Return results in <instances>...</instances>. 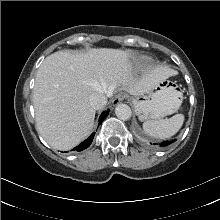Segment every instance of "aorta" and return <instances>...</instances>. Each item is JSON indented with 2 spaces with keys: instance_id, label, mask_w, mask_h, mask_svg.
<instances>
[{
  "instance_id": "762f6f07",
  "label": "aorta",
  "mask_w": 220,
  "mask_h": 220,
  "mask_svg": "<svg viewBox=\"0 0 220 220\" xmlns=\"http://www.w3.org/2000/svg\"><path fill=\"white\" fill-rule=\"evenodd\" d=\"M115 114L119 119L125 121L131 118L132 111L128 105L118 104L115 108Z\"/></svg>"
}]
</instances>
